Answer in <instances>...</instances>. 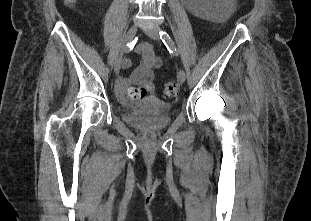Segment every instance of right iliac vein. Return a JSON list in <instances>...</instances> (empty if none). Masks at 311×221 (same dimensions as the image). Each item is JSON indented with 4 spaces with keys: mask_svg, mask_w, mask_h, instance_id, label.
<instances>
[{
    "mask_svg": "<svg viewBox=\"0 0 311 221\" xmlns=\"http://www.w3.org/2000/svg\"><path fill=\"white\" fill-rule=\"evenodd\" d=\"M137 29H138L137 25L131 26L129 28L126 36H125V41H124L125 45L123 46V49H122L120 55L118 56V58L116 60V63H115V67H114V71H115L116 74H118L120 72V69H121V66H122V62H123V52L126 49V45L128 43H130L133 40V38L136 36Z\"/></svg>",
    "mask_w": 311,
    "mask_h": 221,
    "instance_id": "right-iliac-vein-1",
    "label": "right iliac vein"
}]
</instances>
